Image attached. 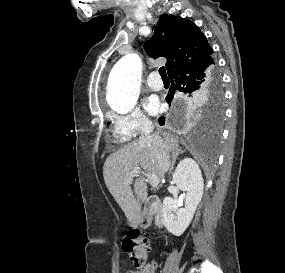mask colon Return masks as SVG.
<instances>
[{
	"mask_svg": "<svg viewBox=\"0 0 285 273\" xmlns=\"http://www.w3.org/2000/svg\"><path fill=\"white\" fill-rule=\"evenodd\" d=\"M123 250L130 256L135 270L129 273H151L149 267H145L148 254L149 244L145 237L140 235V232L135 231L122 241Z\"/></svg>",
	"mask_w": 285,
	"mask_h": 273,
	"instance_id": "colon-1",
	"label": "colon"
}]
</instances>
